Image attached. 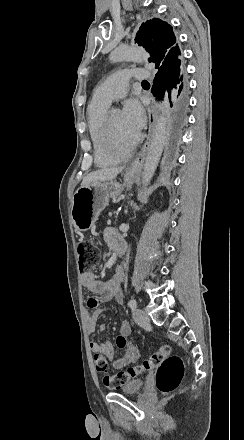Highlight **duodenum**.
Instances as JSON below:
<instances>
[{"label": "duodenum", "mask_w": 244, "mask_h": 440, "mask_svg": "<svg viewBox=\"0 0 244 440\" xmlns=\"http://www.w3.org/2000/svg\"><path fill=\"white\" fill-rule=\"evenodd\" d=\"M116 251H117V254H118V255H122V254H123V247H122V245H119V246L117 247Z\"/></svg>", "instance_id": "obj_1"}]
</instances>
